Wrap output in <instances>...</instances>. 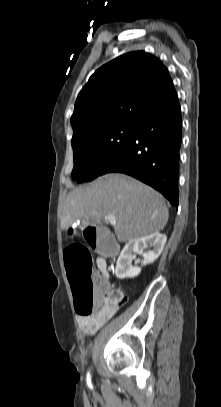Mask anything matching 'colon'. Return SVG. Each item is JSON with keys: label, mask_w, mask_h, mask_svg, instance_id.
Returning a JSON list of instances; mask_svg holds the SVG:
<instances>
[{"label": "colon", "mask_w": 221, "mask_h": 407, "mask_svg": "<svg viewBox=\"0 0 221 407\" xmlns=\"http://www.w3.org/2000/svg\"><path fill=\"white\" fill-rule=\"evenodd\" d=\"M71 237V232H66ZM86 246L95 249L96 255H108L113 259L116 247L115 236L102 222L85 225ZM65 266L72 287L76 311L80 316H90L105 308H117L125 297L117 296L100 286L93 273L89 249L82 244H71L65 251Z\"/></svg>", "instance_id": "1"}]
</instances>
